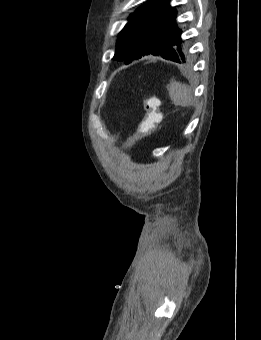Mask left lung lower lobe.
Listing matches in <instances>:
<instances>
[{
	"label": "left lung lower lobe",
	"instance_id": "left-lung-lower-lobe-1",
	"mask_svg": "<svg viewBox=\"0 0 261 340\" xmlns=\"http://www.w3.org/2000/svg\"><path fill=\"white\" fill-rule=\"evenodd\" d=\"M161 14L166 18V19H175L176 18V10L175 8H172L169 5V2L166 1L165 5L163 6L161 10ZM152 55H160L161 57L172 60L178 63L185 62L183 59H181L179 56H177L173 51L169 49H165L161 52H154L151 53ZM149 55V54H147Z\"/></svg>",
	"mask_w": 261,
	"mask_h": 340
}]
</instances>
